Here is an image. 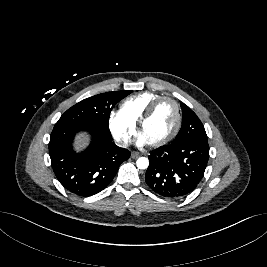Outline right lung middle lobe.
Instances as JSON below:
<instances>
[{
  "mask_svg": "<svg viewBox=\"0 0 267 267\" xmlns=\"http://www.w3.org/2000/svg\"><path fill=\"white\" fill-rule=\"evenodd\" d=\"M131 92V90L113 91L84 99L69 108L55 126L97 125L109 128V116L112 108Z\"/></svg>",
  "mask_w": 267,
  "mask_h": 267,
  "instance_id": "obj_1",
  "label": "right lung middle lobe"
}]
</instances>
